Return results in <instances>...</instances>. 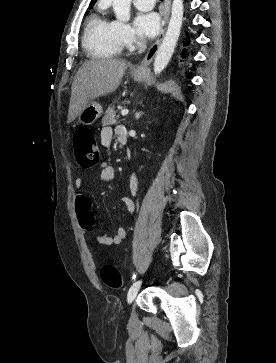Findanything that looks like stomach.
I'll list each match as a JSON object with an SVG mask.
<instances>
[{
	"mask_svg": "<svg viewBox=\"0 0 276 363\" xmlns=\"http://www.w3.org/2000/svg\"><path fill=\"white\" fill-rule=\"evenodd\" d=\"M135 81L141 82L144 80V74H132ZM103 113L102 106L97 102L88 103L84 109L79 113L78 120L84 125H92Z\"/></svg>",
	"mask_w": 276,
	"mask_h": 363,
	"instance_id": "0dacf381",
	"label": "stomach"
}]
</instances>
